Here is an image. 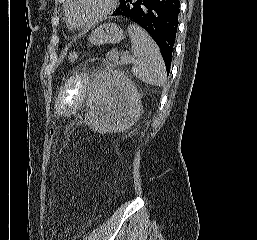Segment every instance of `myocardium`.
Listing matches in <instances>:
<instances>
[{"label":"myocardium","mask_w":257,"mask_h":240,"mask_svg":"<svg viewBox=\"0 0 257 240\" xmlns=\"http://www.w3.org/2000/svg\"><path fill=\"white\" fill-rule=\"evenodd\" d=\"M72 1L73 0H66L65 6H64L65 18L71 27L76 28V29H85V28H88V27H91V26L97 24L98 22H100L104 18H106L115 8L117 0H108L106 7L98 15H96L91 20H89L85 23H82V24H77V23L73 22L70 17L69 7H70V4Z\"/></svg>","instance_id":"f54148a6"}]
</instances>
